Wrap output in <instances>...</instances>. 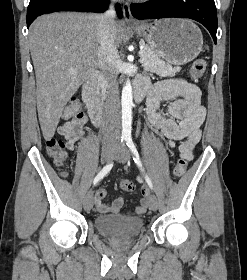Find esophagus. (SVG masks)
Returning a JSON list of instances; mask_svg holds the SVG:
<instances>
[{
  "mask_svg": "<svg viewBox=\"0 0 247 280\" xmlns=\"http://www.w3.org/2000/svg\"><path fill=\"white\" fill-rule=\"evenodd\" d=\"M123 16H124V20L127 23H133L136 24V20L134 19L132 13H131V9H130V4L128 2H126L123 5Z\"/></svg>",
  "mask_w": 247,
  "mask_h": 280,
  "instance_id": "1",
  "label": "esophagus"
}]
</instances>
